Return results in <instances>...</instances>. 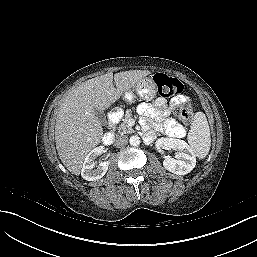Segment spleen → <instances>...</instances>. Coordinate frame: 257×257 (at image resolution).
Instances as JSON below:
<instances>
[{
  "mask_svg": "<svg viewBox=\"0 0 257 257\" xmlns=\"http://www.w3.org/2000/svg\"><path fill=\"white\" fill-rule=\"evenodd\" d=\"M187 140L193 154L199 159H204L208 155L211 146L210 129L203 112L195 114Z\"/></svg>",
  "mask_w": 257,
  "mask_h": 257,
  "instance_id": "obj_1",
  "label": "spleen"
}]
</instances>
